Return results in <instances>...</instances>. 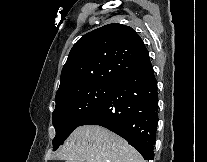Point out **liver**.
I'll return each mask as SVG.
<instances>
[{"label":"liver","instance_id":"6515ba94","mask_svg":"<svg viewBox=\"0 0 207 162\" xmlns=\"http://www.w3.org/2000/svg\"><path fill=\"white\" fill-rule=\"evenodd\" d=\"M56 156L66 162H145L126 140L92 124L76 128Z\"/></svg>","mask_w":207,"mask_h":162}]
</instances>
